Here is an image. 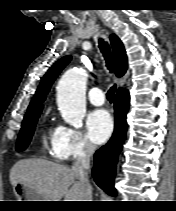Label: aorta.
<instances>
[{"label": "aorta", "instance_id": "1", "mask_svg": "<svg viewBox=\"0 0 176 211\" xmlns=\"http://www.w3.org/2000/svg\"><path fill=\"white\" fill-rule=\"evenodd\" d=\"M86 81L84 70L70 69L63 74L57 86V105L61 116L75 128L83 125Z\"/></svg>", "mask_w": 176, "mask_h": 211}]
</instances>
